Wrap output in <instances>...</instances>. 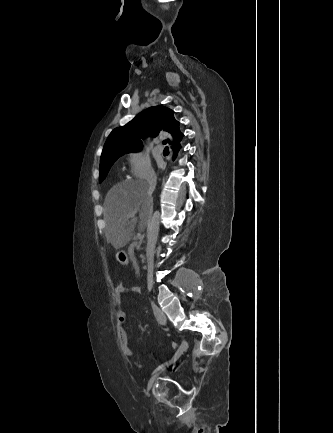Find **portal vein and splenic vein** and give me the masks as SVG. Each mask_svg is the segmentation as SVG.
<instances>
[{
    "label": "portal vein and splenic vein",
    "mask_w": 333,
    "mask_h": 433,
    "mask_svg": "<svg viewBox=\"0 0 333 433\" xmlns=\"http://www.w3.org/2000/svg\"><path fill=\"white\" fill-rule=\"evenodd\" d=\"M134 216H135V214H134V213H131V214H129V215L127 216V218L130 219V218H132V217H134ZM137 239H138V240H141V239H142V236H141L140 233H138V235H137ZM134 244L136 245V244H137V241L134 242Z\"/></svg>",
    "instance_id": "obj_1"
}]
</instances>
